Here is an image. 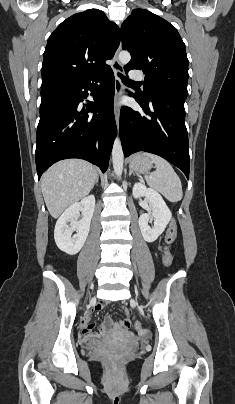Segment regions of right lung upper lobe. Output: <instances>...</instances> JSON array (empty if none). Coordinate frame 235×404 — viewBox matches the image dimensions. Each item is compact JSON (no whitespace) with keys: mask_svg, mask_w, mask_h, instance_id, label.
<instances>
[{"mask_svg":"<svg viewBox=\"0 0 235 404\" xmlns=\"http://www.w3.org/2000/svg\"><path fill=\"white\" fill-rule=\"evenodd\" d=\"M120 43L119 28L105 13L89 9L63 21L50 35L42 64V86L82 79L110 68Z\"/></svg>","mask_w":235,"mask_h":404,"instance_id":"right-lung-upper-lobe-1","label":"right lung upper lobe"}]
</instances>
